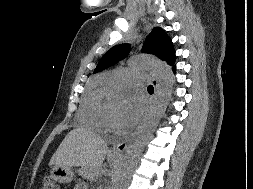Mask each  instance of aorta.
Returning a JSON list of instances; mask_svg holds the SVG:
<instances>
[{
  "mask_svg": "<svg viewBox=\"0 0 253 189\" xmlns=\"http://www.w3.org/2000/svg\"><path fill=\"white\" fill-rule=\"evenodd\" d=\"M129 64L136 68H150L157 78L159 88L153 106L128 145L122 163L112 178L111 189H123L125 179L137 166L146 144L151 139L167 109L174 84L171 68L161 60L150 56H136L130 59ZM122 101V96L117 92L112 91L107 96V102L111 105H121Z\"/></svg>",
  "mask_w": 253,
  "mask_h": 189,
  "instance_id": "obj_1",
  "label": "aorta"
}]
</instances>
